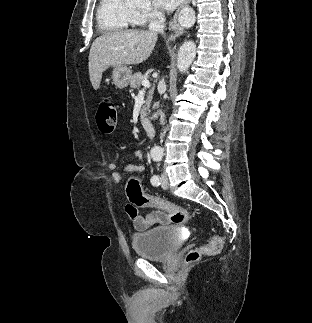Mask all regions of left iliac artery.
Here are the masks:
<instances>
[{
    "mask_svg": "<svg viewBox=\"0 0 312 323\" xmlns=\"http://www.w3.org/2000/svg\"><path fill=\"white\" fill-rule=\"evenodd\" d=\"M160 177L158 175H153L151 178V183L153 186H159L160 185Z\"/></svg>",
    "mask_w": 312,
    "mask_h": 323,
    "instance_id": "1",
    "label": "left iliac artery"
}]
</instances>
